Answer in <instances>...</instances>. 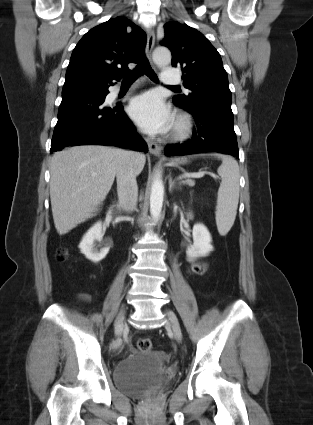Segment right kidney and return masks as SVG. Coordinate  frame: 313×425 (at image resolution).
<instances>
[{
    "label": "right kidney",
    "instance_id": "right-kidney-1",
    "mask_svg": "<svg viewBox=\"0 0 313 425\" xmlns=\"http://www.w3.org/2000/svg\"><path fill=\"white\" fill-rule=\"evenodd\" d=\"M103 235L104 233L102 231V223L97 222L87 231L79 244L81 253L92 262L101 261L109 252L110 247L108 245L102 247L100 250L94 247V242H100L103 238Z\"/></svg>",
    "mask_w": 313,
    "mask_h": 425
}]
</instances>
